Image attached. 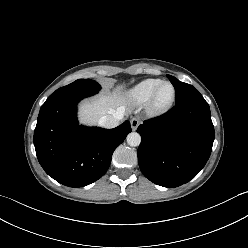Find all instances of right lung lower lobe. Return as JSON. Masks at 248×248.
Masks as SVG:
<instances>
[{
  "instance_id": "right-lung-lower-lobe-1",
  "label": "right lung lower lobe",
  "mask_w": 248,
  "mask_h": 248,
  "mask_svg": "<svg viewBox=\"0 0 248 248\" xmlns=\"http://www.w3.org/2000/svg\"><path fill=\"white\" fill-rule=\"evenodd\" d=\"M92 91H55L42 105L34 131V145L45 172L69 187H83L107 171L114 150L131 126L125 121L114 129L79 126L77 104Z\"/></svg>"
}]
</instances>
